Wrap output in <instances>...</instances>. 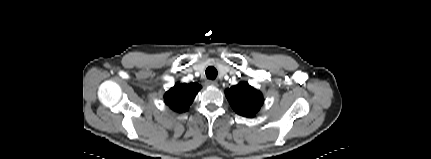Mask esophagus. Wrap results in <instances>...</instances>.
<instances>
[{
  "mask_svg": "<svg viewBox=\"0 0 431 159\" xmlns=\"http://www.w3.org/2000/svg\"><path fill=\"white\" fill-rule=\"evenodd\" d=\"M206 84L209 85V86H217L218 85V83H217L216 80H208L206 82Z\"/></svg>",
  "mask_w": 431,
  "mask_h": 159,
  "instance_id": "obj_1",
  "label": "esophagus"
}]
</instances>
